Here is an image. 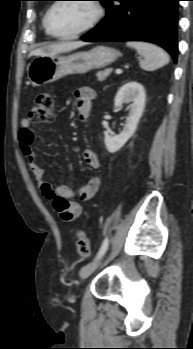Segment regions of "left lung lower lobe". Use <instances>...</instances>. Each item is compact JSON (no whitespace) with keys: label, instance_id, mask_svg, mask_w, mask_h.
Instances as JSON below:
<instances>
[{"label":"left lung lower lobe","instance_id":"left-lung-lower-lobe-1","mask_svg":"<svg viewBox=\"0 0 193 349\" xmlns=\"http://www.w3.org/2000/svg\"><path fill=\"white\" fill-rule=\"evenodd\" d=\"M180 0H108L104 22L82 36L86 42L147 41L177 60Z\"/></svg>","mask_w":193,"mask_h":349}]
</instances>
